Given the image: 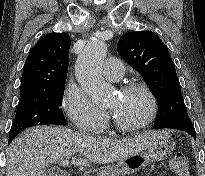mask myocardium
Wrapping results in <instances>:
<instances>
[{"instance_id": "f54148a6", "label": "myocardium", "mask_w": 205, "mask_h": 176, "mask_svg": "<svg viewBox=\"0 0 205 176\" xmlns=\"http://www.w3.org/2000/svg\"><path fill=\"white\" fill-rule=\"evenodd\" d=\"M135 91L141 92L148 99L149 113H148L147 117L142 122L135 124V125H129V124H125L122 121H120L114 115V113L112 111H110V115H111V118H112L114 125L122 131L134 132V131H138V130H141V129L147 127L154 120L156 113H157L156 97L153 94V92L146 85L136 82V83H131V84L123 86L122 90H121L122 93H131V92H135Z\"/></svg>"}]
</instances>
